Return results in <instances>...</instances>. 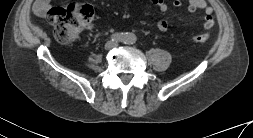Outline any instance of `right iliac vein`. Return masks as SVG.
I'll list each match as a JSON object with an SVG mask.
<instances>
[{"label":"right iliac vein","instance_id":"1","mask_svg":"<svg viewBox=\"0 0 253 138\" xmlns=\"http://www.w3.org/2000/svg\"><path fill=\"white\" fill-rule=\"evenodd\" d=\"M113 47V43L109 42L105 45V49L109 50Z\"/></svg>","mask_w":253,"mask_h":138}]
</instances>
